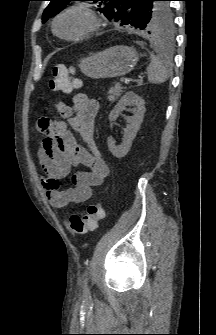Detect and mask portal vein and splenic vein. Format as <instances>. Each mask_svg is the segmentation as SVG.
<instances>
[{"label": "portal vein and splenic vein", "instance_id": "1", "mask_svg": "<svg viewBox=\"0 0 216 335\" xmlns=\"http://www.w3.org/2000/svg\"><path fill=\"white\" fill-rule=\"evenodd\" d=\"M121 82L127 84V83L130 82V79H128V78H122Z\"/></svg>", "mask_w": 216, "mask_h": 335}]
</instances>
